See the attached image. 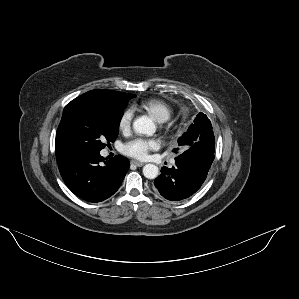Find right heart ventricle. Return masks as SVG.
Masks as SVG:
<instances>
[{"label":"right heart ventricle","instance_id":"right-heart-ventricle-1","mask_svg":"<svg viewBox=\"0 0 299 299\" xmlns=\"http://www.w3.org/2000/svg\"><path fill=\"white\" fill-rule=\"evenodd\" d=\"M137 108L149 114L159 123L166 122L172 115V106L165 100L159 98H148L142 100Z\"/></svg>","mask_w":299,"mask_h":299}]
</instances>
